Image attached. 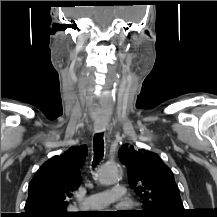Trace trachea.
I'll list each match as a JSON object with an SVG mask.
<instances>
[{
    "label": "trachea",
    "mask_w": 217,
    "mask_h": 217,
    "mask_svg": "<svg viewBox=\"0 0 217 217\" xmlns=\"http://www.w3.org/2000/svg\"><path fill=\"white\" fill-rule=\"evenodd\" d=\"M93 147H94L93 166H95L102 159L104 155V140H103L102 133H98L94 136Z\"/></svg>",
    "instance_id": "3493384b"
}]
</instances>
